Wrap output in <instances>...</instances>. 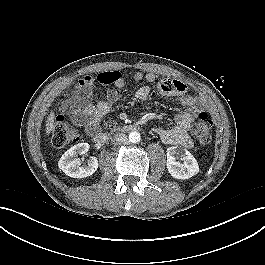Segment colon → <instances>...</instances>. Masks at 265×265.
Masks as SVG:
<instances>
[{"label":"colon","mask_w":265,"mask_h":265,"mask_svg":"<svg viewBox=\"0 0 265 265\" xmlns=\"http://www.w3.org/2000/svg\"><path fill=\"white\" fill-rule=\"evenodd\" d=\"M115 73H102L96 75L99 80H104L106 82L113 81ZM212 120L206 112H201L194 124L192 125V134L201 144H208L211 141V129ZM79 135L77 130L71 126L64 115L57 116L52 135V143L55 147H64L68 144L77 142Z\"/></svg>","instance_id":"colon-1"}]
</instances>
